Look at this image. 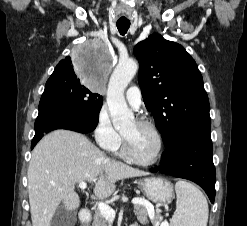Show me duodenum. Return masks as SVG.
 Masks as SVG:
<instances>
[{
    "label": "duodenum",
    "mask_w": 247,
    "mask_h": 226,
    "mask_svg": "<svg viewBox=\"0 0 247 226\" xmlns=\"http://www.w3.org/2000/svg\"><path fill=\"white\" fill-rule=\"evenodd\" d=\"M91 219V213L88 209H82L80 211V220L83 224H87Z\"/></svg>",
    "instance_id": "duodenum-1"
}]
</instances>
